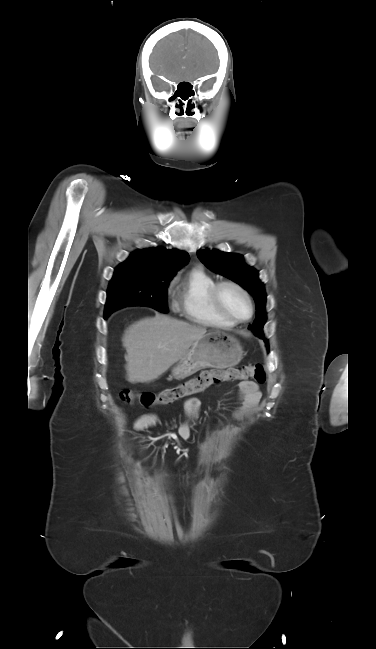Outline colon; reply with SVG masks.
Returning <instances> with one entry per match:
<instances>
[{"label":"colon","mask_w":376,"mask_h":649,"mask_svg":"<svg viewBox=\"0 0 376 649\" xmlns=\"http://www.w3.org/2000/svg\"><path fill=\"white\" fill-rule=\"evenodd\" d=\"M265 382V372L261 364L232 367L226 370H204L190 380L159 392H136L126 389L120 393L126 403L140 402L143 406L167 405L176 400L200 393L207 388L226 381Z\"/></svg>","instance_id":"obj_1"}]
</instances>
